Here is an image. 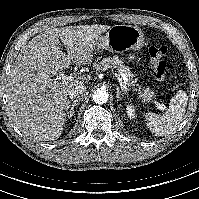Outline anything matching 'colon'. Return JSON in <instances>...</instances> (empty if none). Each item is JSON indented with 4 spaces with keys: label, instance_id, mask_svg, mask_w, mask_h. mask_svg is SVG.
Segmentation results:
<instances>
[{
    "label": "colon",
    "instance_id": "1",
    "mask_svg": "<svg viewBox=\"0 0 199 199\" xmlns=\"http://www.w3.org/2000/svg\"><path fill=\"white\" fill-rule=\"evenodd\" d=\"M167 53L165 46H150L148 48V59L154 77L158 81H165L167 78V65L163 60L164 55Z\"/></svg>",
    "mask_w": 199,
    "mask_h": 199
}]
</instances>
